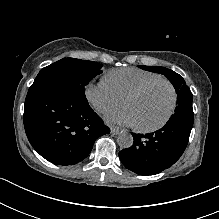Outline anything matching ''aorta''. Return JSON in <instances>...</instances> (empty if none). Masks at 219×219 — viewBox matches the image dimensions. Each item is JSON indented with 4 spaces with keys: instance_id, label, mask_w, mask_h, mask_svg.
<instances>
[{
    "instance_id": "762f6f07",
    "label": "aorta",
    "mask_w": 219,
    "mask_h": 219,
    "mask_svg": "<svg viewBox=\"0 0 219 219\" xmlns=\"http://www.w3.org/2000/svg\"><path fill=\"white\" fill-rule=\"evenodd\" d=\"M117 142L121 148H129L133 145V137L129 133H122L118 136Z\"/></svg>"
}]
</instances>
